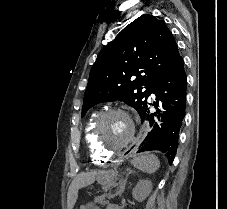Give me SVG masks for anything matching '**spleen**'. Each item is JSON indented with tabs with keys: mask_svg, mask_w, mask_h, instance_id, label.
<instances>
[{
	"mask_svg": "<svg viewBox=\"0 0 227 209\" xmlns=\"http://www.w3.org/2000/svg\"><path fill=\"white\" fill-rule=\"evenodd\" d=\"M131 165L135 169H140L144 173H156L160 167V161L156 155H149V153H144V155H136L131 161Z\"/></svg>",
	"mask_w": 227,
	"mask_h": 209,
	"instance_id": "spleen-1",
	"label": "spleen"
}]
</instances>
